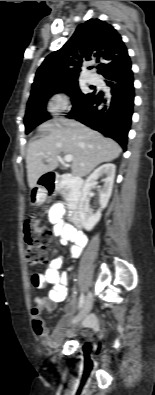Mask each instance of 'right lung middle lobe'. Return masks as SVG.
<instances>
[{"label":"right lung middle lobe","instance_id":"obj_1","mask_svg":"<svg viewBox=\"0 0 155 395\" xmlns=\"http://www.w3.org/2000/svg\"><path fill=\"white\" fill-rule=\"evenodd\" d=\"M58 92L67 93L71 97L73 105L88 95L81 93L78 80L65 81L43 88L38 93L31 96L27 103V110L24 118L26 134L40 123L50 118V115L45 110L47 100Z\"/></svg>","mask_w":155,"mask_h":395}]
</instances>
